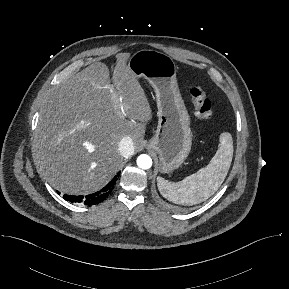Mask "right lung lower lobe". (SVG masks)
Returning <instances> with one entry per match:
<instances>
[{
    "instance_id": "1",
    "label": "right lung lower lobe",
    "mask_w": 289,
    "mask_h": 289,
    "mask_svg": "<svg viewBox=\"0 0 289 289\" xmlns=\"http://www.w3.org/2000/svg\"><path fill=\"white\" fill-rule=\"evenodd\" d=\"M120 173V172H119ZM117 181V175L100 191L86 195V196H73L64 195L63 198L70 202L84 203L85 205H94L102 202L113 190V187Z\"/></svg>"
}]
</instances>
